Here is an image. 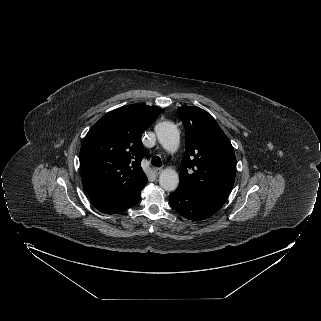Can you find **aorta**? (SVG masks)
<instances>
[{"mask_svg": "<svg viewBox=\"0 0 321 321\" xmlns=\"http://www.w3.org/2000/svg\"><path fill=\"white\" fill-rule=\"evenodd\" d=\"M155 133L162 147L169 151L175 152L180 143V135L177 126L170 122H160L155 126ZM159 184L166 191H174L179 185L178 173L170 168L161 171Z\"/></svg>", "mask_w": 321, "mask_h": 321, "instance_id": "1", "label": "aorta"}]
</instances>
